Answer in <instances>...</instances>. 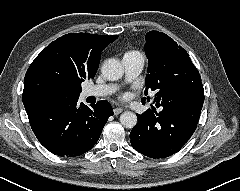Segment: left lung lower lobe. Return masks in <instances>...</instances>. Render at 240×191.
Segmentation results:
<instances>
[{
	"instance_id": "obj_1",
	"label": "left lung lower lobe",
	"mask_w": 240,
	"mask_h": 191,
	"mask_svg": "<svg viewBox=\"0 0 240 191\" xmlns=\"http://www.w3.org/2000/svg\"><path fill=\"white\" fill-rule=\"evenodd\" d=\"M203 102V86L197 85L165 106H152L142 115L137 114L138 123L130 133L132 147L151 158H166L178 152L193 135Z\"/></svg>"
}]
</instances>
